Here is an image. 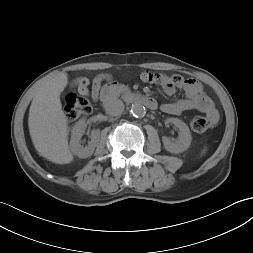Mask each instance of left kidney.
I'll list each match as a JSON object with an SVG mask.
<instances>
[{
    "label": "left kidney",
    "mask_w": 253,
    "mask_h": 253,
    "mask_svg": "<svg viewBox=\"0 0 253 253\" xmlns=\"http://www.w3.org/2000/svg\"><path fill=\"white\" fill-rule=\"evenodd\" d=\"M168 123L174 124L180 131L178 140L176 142L171 141L169 138H163V144L167 151L171 153H181L189 148L191 144V133L189 127L178 118L167 119Z\"/></svg>",
    "instance_id": "obj_1"
}]
</instances>
